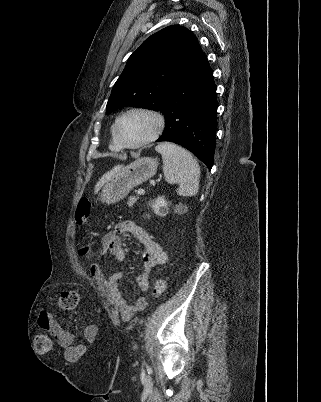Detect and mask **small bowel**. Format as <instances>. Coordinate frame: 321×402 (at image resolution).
Wrapping results in <instances>:
<instances>
[{
	"label": "small bowel",
	"instance_id": "c3829d8e",
	"mask_svg": "<svg viewBox=\"0 0 321 402\" xmlns=\"http://www.w3.org/2000/svg\"><path fill=\"white\" fill-rule=\"evenodd\" d=\"M122 234L133 235L144 247V251L141 254L143 273L137 278L136 288L139 293H145L149 288L150 271L157 265L166 263L168 258L167 253L161 245L152 238L147 230L132 221H124L117 224L113 231L108 232L103 237L101 256L109 255L117 261L124 259L125 249L120 237ZM90 273L96 280L105 281L104 272L98 262H95L91 266ZM121 278V273H113L107 280V286L110 296L119 310L121 319L123 321H130L135 314L142 312L146 308V300L144 297L139 296L133 303L126 302L119 290ZM38 323L41 328L49 331L57 338L64 348V354L67 360L84 358L86 356V346H93V338L99 333V328L96 324H88L83 331L86 346L85 344H76L74 343L71 327L55 320L53 314L48 309L41 310Z\"/></svg>",
	"mask_w": 321,
	"mask_h": 402
}]
</instances>
